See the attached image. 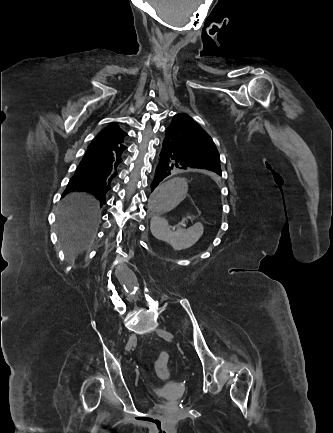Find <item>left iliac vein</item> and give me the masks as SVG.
Returning a JSON list of instances; mask_svg holds the SVG:
<instances>
[{"instance_id": "1", "label": "left iliac vein", "mask_w": 333, "mask_h": 433, "mask_svg": "<svg viewBox=\"0 0 333 433\" xmlns=\"http://www.w3.org/2000/svg\"><path fill=\"white\" fill-rule=\"evenodd\" d=\"M156 333L165 339H173L174 338V336L171 333L167 332L166 330L158 329V330H156Z\"/></svg>"}]
</instances>
